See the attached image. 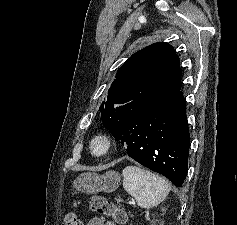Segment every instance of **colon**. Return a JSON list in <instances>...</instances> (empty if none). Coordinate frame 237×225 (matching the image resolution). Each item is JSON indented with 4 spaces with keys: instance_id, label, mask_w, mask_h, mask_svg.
I'll return each mask as SVG.
<instances>
[{
    "instance_id": "obj_1",
    "label": "colon",
    "mask_w": 237,
    "mask_h": 225,
    "mask_svg": "<svg viewBox=\"0 0 237 225\" xmlns=\"http://www.w3.org/2000/svg\"><path fill=\"white\" fill-rule=\"evenodd\" d=\"M89 207L103 216L112 217L113 220L120 225L127 222L126 212L116 206L110 199L101 195L91 196L89 199ZM64 225H81V220L75 212H68L64 216Z\"/></svg>"
}]
</instances>
